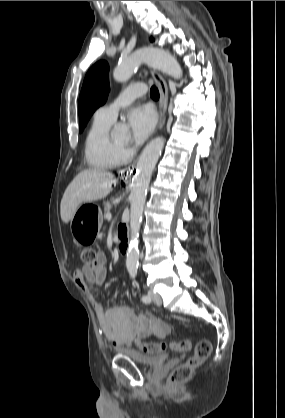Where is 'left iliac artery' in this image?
Returning a JSON list of instances; mask_svg holds the SVG:
<instances>
[{
    "label": "left iliac artery",
    "mask_w": 285,
    "mask_h": 418,
    "mask_svg": "<svg viewBox=\"0 0 285 418\" xmlns=\"http://www.w3.org/2000/svg\"><path fill=\"white\" fill-rule=\"evenodd\" d=\"M130 275L132 276V278H135V277H136V275H137V269H131V270H130ZM141 300H142L144 303H150V302H151V298H150V297H148L147 295H143V296H142V298H141Z\"/></svg>",
    "instance_id": "44dca946"
}]
</instances>
